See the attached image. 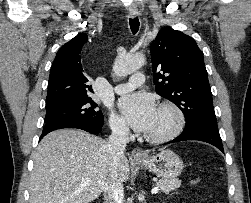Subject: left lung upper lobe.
I'll return each instance as SVG.
<instances>
[{
  "instance_id": "5c2ea615",
  "label": "left lung upper lobe",
  "mask_w": 251,
  "mask_h": 203,
  "mask_svg": "<svg viewBox=\"0 0 251 203\" xmlns=\"http://www.w3.org/2000/svg\"><path fill=\"white\" fill-rule=\"evenodd\" d=\"M151 57L155 90L182 110L184 130L218 129L203 53L194 39L165 27L151 44Z\"/></svg>"
}]
</instances>
